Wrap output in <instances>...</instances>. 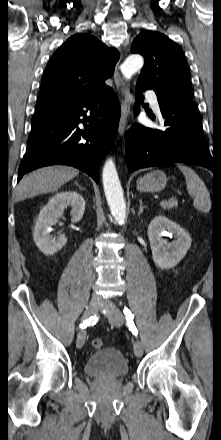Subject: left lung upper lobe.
<instances>
[{"mask_svg": "<svg viewBox=\"0 0 221 440\" xmlns=\"http://www.w3.org/2000/svg\"><path fill=\"white\" fill-rule=\"evenodd\" d=\"M132 53L145 58L137 83L157 97L197 111L191 98L190 73L182 49L164 34L144 31L132 42Z\"/></svg>", "mask_w": 221, "mask_h": 440, "instance_id": "1", "label": "left lung upper lobe"}]
</instances>
